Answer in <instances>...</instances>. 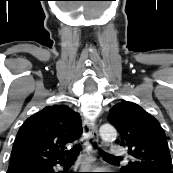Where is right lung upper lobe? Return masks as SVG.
<instances>
[{
	"instance_id": "1",
	"label": "right lung upper lobe",
	"mask_w": 173,
	"mask_h": 173,
	"mask_svg": "<svg viewBox=\"0 0 173 173\" xmlns=\"http://www.w3.org/2000/svg\"><path fill=\"white\" fill-rule=\"evenodd\" d=\"M82 134L81 118L66 105H53L29 117L19 129L8 170L64 160L65 145Z\"/></svg>"
}]
</instances>
